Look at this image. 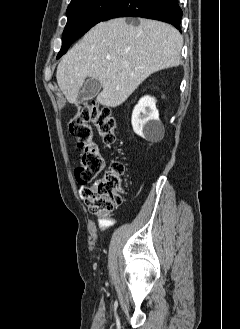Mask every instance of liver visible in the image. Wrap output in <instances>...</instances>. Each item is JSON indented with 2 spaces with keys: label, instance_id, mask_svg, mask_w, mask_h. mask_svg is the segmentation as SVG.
I'll list each match as a JSON object with an SVG mask.
<instances>
[{
  "label": "liver",
  "instance_id": "1",
  "mask_svg": "<svg viewBox=\"0 0 240 329\" xmlns=\"http://www.w3.org/2000/svg\"><path fill=\"white\" fill-rule=\"evenodd\" d=\"M183 37L169 24L125 18L101 22L90 29L57 67V83L69 103H76L86 78L103 87L97 102L121 105L151 74L181 63Z\"/></svg>",
  "mask_w": 240,
  "mask_h": 329
}]
</instances>
